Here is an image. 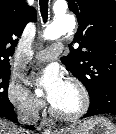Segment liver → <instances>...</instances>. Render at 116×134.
<instances>
[{"mask_svg":"<svg viewBox=\"0 0 116 134\" xmlns=\"http://www.w3.org/2000/svg\"><path fill=\"white\" fill-rule=\"evenodd\" d=\"M0 134H20L16 126L0 120Z\"/></svg>","mask_w":116,"mask_h":134,"instance_id":"liver-1","label":"liver"}]
</instances>
